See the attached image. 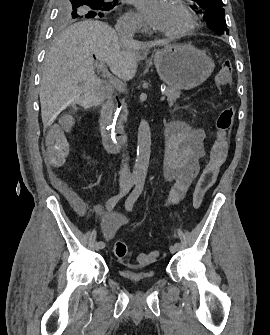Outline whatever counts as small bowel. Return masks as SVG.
<instances>
[{
  "mask_svg": "<svg viewBox=\"0 0 270 335\" xmlns=\"http://www.w3.org/2000/svg\"><path fill=\"white\" fill-rule=\"evenodd\" d=\"M73 120L64 117L59 120L48 138L49 149L46 156H59L49 158V165H62L65 161L60 156H65L71 145H67L66 134H70ZM166 156L163 162V176L173 183L168 206L178 204L185 196L190 184L199 172V161L204 155V133L201 129L192 128L185 122L175 121L167 124L165 128ZM66 145V147H62ZM67 189V188H66ZM64 190V189H63ZM104 217L100 224L105 238H111L119 223H124L127 218L122 214H108L102 212Z\"/></svg>",
  "mask_w": 270,
  "mask_h": 335,
  "instance_id": "1",
  "label": "small bowel"
}]
</instances>
